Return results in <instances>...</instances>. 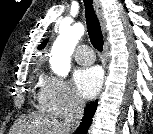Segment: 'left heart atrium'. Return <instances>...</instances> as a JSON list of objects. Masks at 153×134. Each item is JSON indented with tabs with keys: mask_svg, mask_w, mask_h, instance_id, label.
<instances>
[{
	"mask_svg": "<svg viewBox=\"0 0 153 134\" xmlns=\"http://www.w3.org/2000/svg\"><path fill=\"white\" fill-rule=\"evenodd\" d=\"M103 75L98 67L78 69L74 73L77 92L84 98H93L100 90Z\"/></svg>",
	"mask_w": 153,
	"mask_h": 134,
	"instance_id": "39dd6f15",
	"label": "left heart atrium"
}]
</instances>
